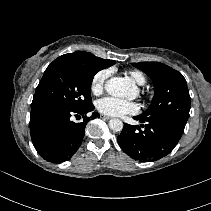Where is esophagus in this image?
<instances>
[{
  "mask_svg": "<svg viewBox=\"0 0 211 211\" xmlns=\"http://www.w3.org/2000/svg\"><path fill=\"white\" fill-rule=\"evenodd\" d=\"M101 116H102L103 119H106V120L111 119V117L107 116V115H101Z\"/></svg>",
  "mask_w": 211,
  "mask_h": 211,
  "instance_id": "obj_1",
  "label": "esophagus"
}]
</instances>
